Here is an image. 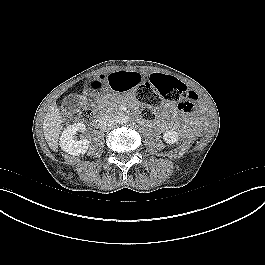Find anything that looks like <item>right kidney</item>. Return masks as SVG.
<instances>
[{"label": "right kidney", "instance_id": "obj_1", "mask_svg": "<svg viewBox=\"0 0 265 265\" xmlns=\"http://www.w3.org/2000/svg\"><path fill=\"white\" fill-rule=\"evenodd\" d=\"M85 125L81 122L69 125L60 137V147L63 151L71 155H83L89 148L87 139L76 140L75 134L79 130H84Z\"/></svg>", "mask_w": 265, "mask_h": 265}]
</instances>
